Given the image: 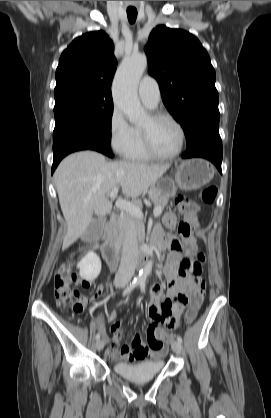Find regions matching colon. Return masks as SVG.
Instances as JSON below:
<instances>
[{
    "label": "colon",
    "instance_id": "5ec220e1",
    "mask_svg": "<svg viewBox=\"0 0 271 418\" xmlns=\"http://www.w3.org/2000/svg\"><path fill=\"white\" fill-rule=\"evenodd\" d=\"M217 196V189L215 186H208L202 192V199L205 203L211 204L215 201ZM176 206L181 213L183 219L179 223L178 231L180 235L190 242L193 231L198 226V204L184 195H178L175 200ZM173 251H180L181 244L174 240L171 243ZM204 256L198 253L196 258L185 257L180 264V274H189L195 278H200L202 263ZM75 274L71 271L69 265L63 266L55 277V297L60 307L71 311L73 314H81L85 309V303L79 291L72 287L74 282H77ZM205 290V283L200 281L195 292L192 309L187 315V322H192L196 315V310L200 306Z\"/></svg>",
    "mask_w": 271,
    "mask_h": 418
}]
</instances>
